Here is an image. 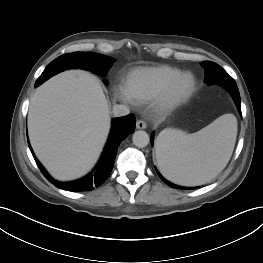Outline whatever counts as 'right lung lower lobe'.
Masks as SVG:
<instances>
[{"instance_id": "obj_1", "label": "right lung lower lobe", "mask_w": 263, "mask_h": 263, "mask_svg": "<svg viewBox=\"0 0 263 263\" xmlns=\"http://www.w3.org/2000/svg\"><path fill=\"white\" fill-rule=\"evenodd\" d=\"M49 78V76L42 77L41 75L37 79L35 87H38ZM135 123V117L133 114L113 119L111 132L98 164L90 174L78 181L58 182L53 180L35 157L30 145L29 148L42 174L56 187L68 191H90L93 190L94 187H98L103 184L109 177L114 165L117 148L122 140L134 132Z\"/></svg>"}]
</instances>
